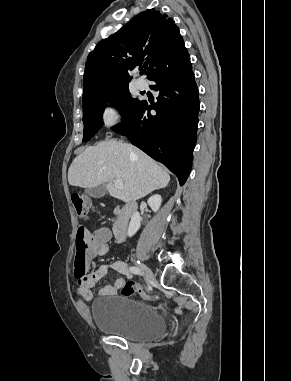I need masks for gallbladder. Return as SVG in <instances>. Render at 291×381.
Listing matches in <instances>:
<instances>
[{
  "label": "gallbladder",
  "mask_w": 291,
  "mask_h": 381,
  "mask_svg": "<svg viewBox=\"0 0 291 381\" xmlns=\"http://www.w3.org/2000/svg\"><path fill=\"white\" fill-rule=\"evenodd\" d=\"M106 191V185L103 183L93 188H89L86 190V193L94 198L103 197Z\"/></svg>",
  "instance_id": "1"
}]
</instances>
